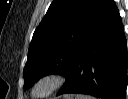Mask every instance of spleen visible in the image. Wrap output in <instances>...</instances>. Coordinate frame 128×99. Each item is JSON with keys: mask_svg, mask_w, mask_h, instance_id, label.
I'll list each match as a JSON object with an SVG mask.
<instances>
[{"mask_svg": "<svg viewBox=\"0 0 128 99\" xmlns=\"http://www.w3.org/2000/svg\"><path fill=\"white\" fill-rule=\"evenodd\" d=\"M80 98L81 99H91V97H88V96H81Z\"/></svg>", "mask_w": 128, "mask_h": 99, "instance_id": "spleen-1", "label": "spleen"}]
</instances>
